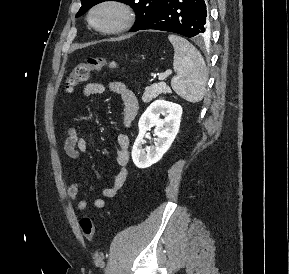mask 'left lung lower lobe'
Here are the masks:
<instances>
[{"mask_svg":"<svg viewBox=\"0 0 289 274\" xmlns=\"http://www.w3.org/2000/svg\"><path fill=\"white\" fill-rule=\"evenodd\" d=\"M205 0H165L158 11L137 30L155 29L202 40L209 35Z\"/></svg>","mask_w":289,"mask_h":274,"instance_id":"left-lung-lower-lobe-1","label":"left lung lower lobe"}]
</instances>
